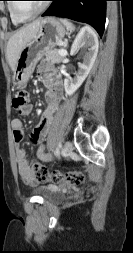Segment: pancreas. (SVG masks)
Here are the masks:
<instances>
[{
  "label": "pancreas",
  "mask_w": 133,
  "mask_h": 253,
  "mask_svg": "<svg viewBox=\"0 0 133 253\" xmlns=\"http://www.w3.org/2000/svg\"><path fill=\"white\" fill-rule=\"evenodd\" d=\"M64 56L60 55L58 50H48L45 52V59L42 61H50L52 63H60Z\"/></svg>",
  "instance_id": "cf45deb5"
}]
</instances>
